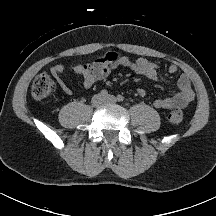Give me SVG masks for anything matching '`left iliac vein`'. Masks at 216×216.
<instances>
[{"mask_svg":"<svg viewBox=\"0 0 216 216\" xmlns=\"http://www.w3.org/2000/svg\"><path fill=\"white\" fill-rule=\"evenodd\" d=\"M117 99L113 95H108L104 98V103H116Z\"/></svg>","mask_w":216,"mask_h":216,"instance_id":"left-iliac-vein-1","label":"left iliac vein"}]
</instances>
